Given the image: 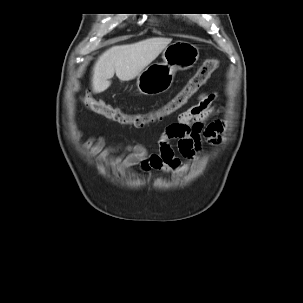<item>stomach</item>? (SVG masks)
<instances>
[{
	"label": "stomach",
	"instance_id": "obj_1",
	"mask_svg": "<svg viewBox=\"0 0 303 303\" xmlns=\"http://www.w3.org/2000/svg\"><path fill=\"white\" fill-rule=\"evenodd\" d=\"M199 49L192 43L178 40L165 47L162 63L146 67L137 77L138 90L144 95H156L170 89L175 72L189 69L196 64Z\"/></svg>",
	"mask_w": 303,
	"mask_h": 303
}]
</instances>
